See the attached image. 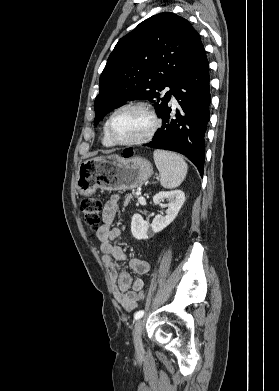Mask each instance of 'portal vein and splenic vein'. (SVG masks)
I'll return each mask as SVG.
<instances>
[{
  "label": "portal vein and splenic vein",
  "instance_id": "18ae733b",
  "mask_svg": "<svg viewBox=\"0 0 279 391\" xmlns=\"http://www.w3.org/2000/svg\"><path fill=\"white\" fill-rule=\"evenodd\" d=\"M136 195H141V192L140 191H136V193H135Z\"/></svg>",
  "mask_w": 279,
  "mask_h": 391
}]
</instances>
